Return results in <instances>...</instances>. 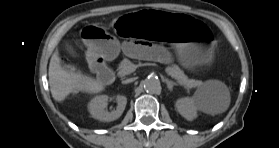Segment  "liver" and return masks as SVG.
I'll use <instances>...</instances> for the list:
<instances>
[{"label": "liver", "instance_id": "1", "mask_svg": "<svg viewBox=\"0 0 279 148\" xmlns=\"http://www.w3.org/2000/svg\"><path fill=\"white\" fill-rule=\"evenodd\" d=\"M48 74L50 91L57 102H63L70 94L78 92L97 94L105 89L104 83L99 79L66 70L62 66L58 50L50 59Z\"/></svg>", "mask_w": 279, "mask_h": 148}]
</instances>
